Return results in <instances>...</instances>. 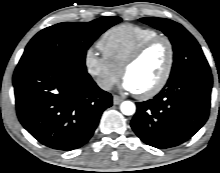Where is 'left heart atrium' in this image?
<instances>
[{"label": "left heart atrium", "instance_id": "1", "mask_svg": "<svg viewBox=\"0 0 220 173\" xmlns=\"http://www.w3.org/2000/svg\"><path fill=\"white\" fill-rule=\"evenodd\" d=\"M121 88L125 91L131 92V93H136L134 86L127 78L123 79V81L121 83Z\"/></svg>", "mask_w": 220, "mask_h": 173}]
</instances>
